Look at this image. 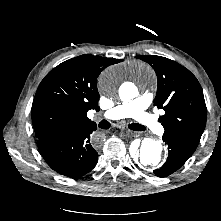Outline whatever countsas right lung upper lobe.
<instances>
[{
    "label": "right lung upper lobe",
    "instance_id": "cb5924a9",
    "mask_svg": "<svg viewBox=\"0 0 221 221\" xmlns=\"http://www.w3.org/2000/svg\"><path fill=\"white\" fill-rule=\"evenodd\" d=\"M122 60L84 54L52 69L39 84L32 104V123L38 139L67 129L96 125L87 111H99L97 78Z\"/></svg>",
    "mask_w": 221,
    "mask_h": 221
}]
</instances>
